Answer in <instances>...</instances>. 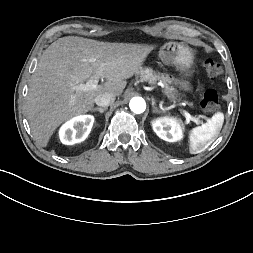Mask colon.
Here are the masks:
<instances>
[{
    "instance_id": "1",
    "label": "colon",
    "mask_w": 253,
    "mask_h": 253,
    "mask_svg": "<svg viewBox=\"0 0 253 253\" xmlns=\"http://www.w3.org/2000/svg\"><path fill=\"white\" fill-rule=\"evenodd\" d=\"M204 69L206 74L215 78L221 74L222 67L220 63L214 59L208 58L204 61ZM201 108L206 112H214L218 109V95L213 89L206 90L200 102Z\"/></svg>"
}]
</instances>
